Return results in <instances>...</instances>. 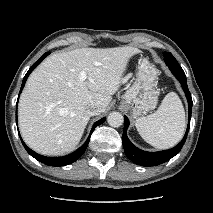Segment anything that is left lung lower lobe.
<instances>
[{
    "label": "left lung lower lobe",
    "instance_id": "left-lung-lower-lobe-1",
    "mask_svg": "<svg viewBox=\"0 0 213 213\" xmlns=\"http://www.w3.org/2000/svg\"><path fill=\"white\" fill-rule=\"evenodd\" d=\"M177 79L181 83V86L185 92V95L188 101V107H189V118H188L189 121H188L187 130L182 141L178 145H176L172 149L159 151V152H146V151L140 150L139 148L135 147L127 137L126 131L129 126V120L126 116H124L125 124H124V130L122 135L123 147L127 157L137 165L147 166V167L160 165L170 160L175 155H177L186 141L187 134L190 128L191 110H192L193 102H192V97L187 86L186 78L178 77Z\"/></svg>",
    "mask_w": 213,
    "mask_h": 213
}]
</instances>
